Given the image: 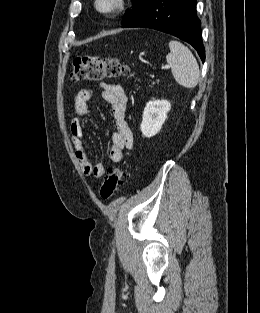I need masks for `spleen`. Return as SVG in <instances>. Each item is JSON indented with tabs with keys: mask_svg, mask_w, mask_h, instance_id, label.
I'll use <instances>...</instances> for the list:
<instances>
[{
	"mask_svg": "<svg viewBox=\"0 0 260 313\" xmlns=\"http://www.w3.org/2000/svg\"><path fill=\"white\" fill-rule=\"evenodd\" d=\"M170 53L166 61L176 82L185 88H194L200 78L199 66L192 52L179 41L169 42Z\"/></svg>",
	"mask_w": 260,
	"mask_h": 313,
	"instance_id": "3e777b00",
	"label": "spleen"
}]
</instances>
